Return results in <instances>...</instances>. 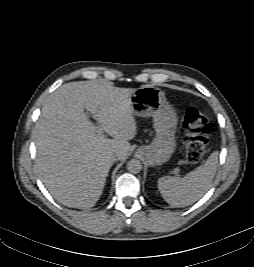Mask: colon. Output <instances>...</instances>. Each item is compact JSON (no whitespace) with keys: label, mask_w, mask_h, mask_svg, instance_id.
Here are the masks:
<instances>
[{"label":"colon","mask_w":254,"mask_h":267,"mask_svg":"<svg viewBox=\"0 0 254 267\" xmlns=\"http://www.w3.org/2000/svg\"><path fill=\"white\" fill-rule=\"evenodd\" d=\"M182 127L186 135L187 160L197 163L206 153L208 135L211 130L210 122L197 107L190 106L184 111Z\"/></svg>","instance_id":"colon-1"}]
</instances>
